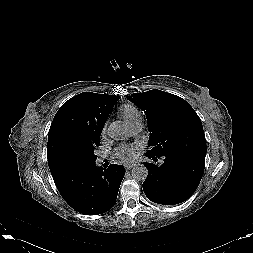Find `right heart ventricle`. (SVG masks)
Wrapping results in <instances>:
<instances>
[{"label":"right heart ventricle","mask_w":253,"mask_h":253,"mask_svg":"<svg viewBox=\"0 0 253 253\" xmlns=\"http://www.w3.org/2000/svg\"><path fill=\"white\" fill-rule=\"evenodd\" d=\"M119 114L128 125L142 120L138 109L130 104L122 105L119 109Z\"/></svg>","instance_id":"1"}]
</instances>
